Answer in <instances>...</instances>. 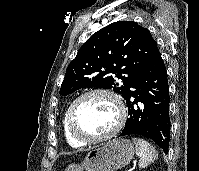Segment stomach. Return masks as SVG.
I'll return each mask as SVG.
<instances>
[{
	"instance_id": "stomach-1",
	"label": "stomach",
	"mask_w": 199,
	"mask_h": 171,
	"mask_svg": "<svg viewBox=\"0 0 199 171\" xmlns=\"http://www.w3.org/2000/svg\"><path fill=\"white\" fill-rule=\"evenodd\" d=\"M134 153L130 140L114 139L90 150L81 164H69L64 171H116L128 165Z\"/></svg>"
}]
</instances>
